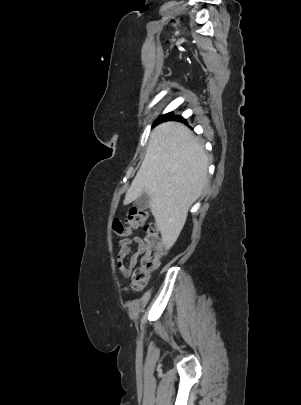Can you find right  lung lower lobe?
I'll return each mask as SVG.
<instances>
[{
    "instance_id": "obj_1",
    "label": "right lung lower lobe",
    "mask_w": 301,
    "mask_h": 405,
    "mask_svg": "<svg viewBox=\"0 0 301 405\" xmlns=\"http://www.w3.org/2000/svg\"><path fill=\"white\" fill-rule=\"evenodd\" d=\"M171 119L180 120V121H185L183 118L177 117V116L171 117V118H169V119H167V120H171Z\"/></svg>"
}]
</instances>
